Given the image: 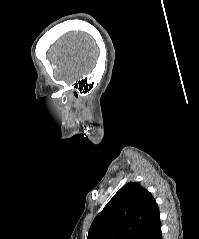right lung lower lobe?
Listing matches in <instances>:
<instances>
[{"label": "right lung lower lobe", "instance_id": "1", "mask_svg": "<svg viewBox=\"0 0 199 239\" xmlns=\"http://www.w3.org/2000/svg\"><path fill=\"white\" fill-rule=\"evenodd\" d=\"M140 239H162L160 219L156 221Z\"/></svg>", "mask_w": 199, "mask_h": 239}]
</instances>
